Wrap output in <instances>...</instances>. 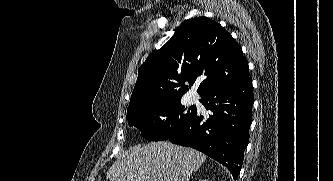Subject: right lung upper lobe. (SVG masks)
<instances>
[{
    "mask_svg": "<svg viewBox=\"0 0 333 181\" xmlns=\"http://www.w3.org/2000/svg\"><path fill=\"white\" fill-rule=\"evenodd\" d=\"M249 76L248 63L232 36L207 17L193 18L141 65L127 111L151 101L181 98L196 81L201 82L197 91L202 97Z\"/></svg>",
    "mask_w": 333,
    "mask_h": 181,
    "instance_id": "cb5924a9",
    "label": "right lung upper lobe"
}]
</instances>
